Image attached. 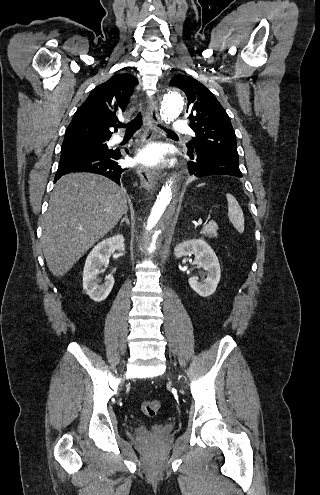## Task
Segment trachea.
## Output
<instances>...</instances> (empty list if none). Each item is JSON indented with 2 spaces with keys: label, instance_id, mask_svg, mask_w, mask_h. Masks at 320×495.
I'll list each match as a JSON object with an SVG mask.
<instances>
[{
  "label": "trachea",
  "instance_id": "3493384b",
  "mask_svg": "<svg viewBox=\"0 0 320 495\" xmlns=\"http://www.w3.org/2000/svg\"><path fill=\"white\" fill-rule=\"evenodd\" d=\"M143 123V116L141 113H139L133 120H131L127 124H122L119 123L117 126L119 128L125 127L126 128V135H132L134 132H136L142 125ZM164 131L168 133H173L172 131L162 128Z\"/></svg>",
  "mask_w": 320,
  "mask_h": 495
}]
</instances>
